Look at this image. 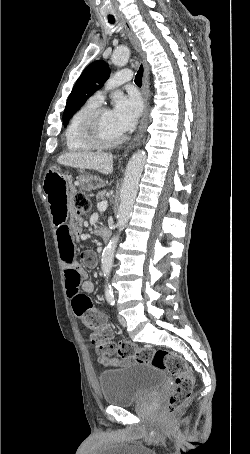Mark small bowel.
I'll use <instances>...</instances> for the list:
<instances>
[{
    "instance_id": "c3829d8e",
    "label": "small bowel",
    "mask_w": 250,
    "mask_h": 454,
    "mask_svg": "<svg viewBox=\"0 0 250 454\" xmlns=\"http://www.w3.org/2000/svg\"><path fill=\"white\" fill-rule=\"evenodd\" d=\"M75 189L74 179L70 174L50 172L44 181V192L52 212L53 222L57 227V239L63 265L68 297L75 315L87 325L92 314H102L90 301L88 295L94 285L87 280L84 269L80 266L75 252V240L81 234L83 220L73 216L67 223L68 202ZM82 259L88 265L96 262L92 251H84Z\"/></svg>"
}]
</instances>
